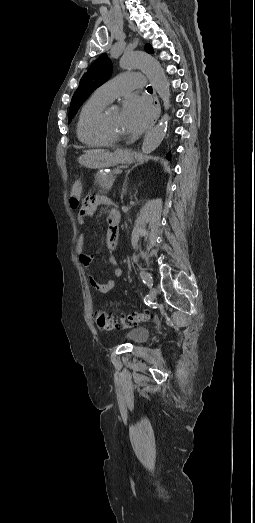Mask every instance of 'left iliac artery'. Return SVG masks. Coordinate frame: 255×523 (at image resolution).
<instances>
[{
	"label": "left iliac artery",
	"mask_w": 255,
	"mask_h": 523,
	"mask_svg": "<svg viewBox=\"0 0 255 523\" xmlns=\"http://www.w3.org/2000/svg\"><path fill=\"white\" fill-rule=\"evenodd\" d=\"M140 276H141L142 281H143L145 284H147L148 286H150V285H149V281H148V279H147V277H146V273H145L144 271H141V272H140Z\"/></svg>",
	"instance_id": "left-iliac-artery-1"
}]
</instances>
